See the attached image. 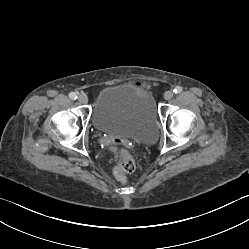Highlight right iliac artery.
<instances>
[{
    "instance_id": "obj_1",
    "label": "right iliac artery",
    "mask_w": 249,
    "mask_h": 249,
    "mask_svg": "<svg viewBox=\"0 0 249 249\" xmlns=\"http://www.w3.org/2000/svg\"><path fill=\"white\" fill-rule=\"evenodd\" d=\"M69 97H70V99H72V100H76V99H77V94H76L75 92H71V93L69 94Z\"/></svg>"
}]
</instances>
